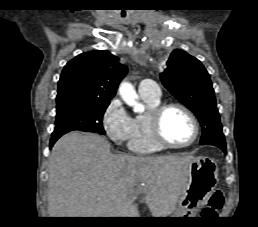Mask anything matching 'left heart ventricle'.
I'll return each instance as SVG.
<instances>
[{
  "label": "left heart ventricle",
  "mask_w": 258,
  "mask_h": 227,
  "mask_svg": "<svg viewBox=\"0 0 258 227\" xmlns=\"http://www.w3.org/2000/svg\"><path fill=\"white\" fill-rule=\"evenodd\" d=\"M165 137L174 143H185L194 134V128L189 117L180 109L172 108L166 112L162 121Z\"/></svg>",
  "instance_id": "obj_1"
}]
</instances>
